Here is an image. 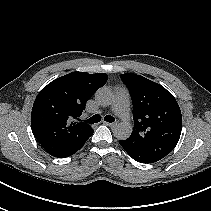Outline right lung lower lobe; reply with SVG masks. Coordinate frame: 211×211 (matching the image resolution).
Returning <instances> with one entry per match:
<instances>
[{
	"instance_id": "right-lung-lower-lobe-1",
	"label": "right lung lower lobe",
	"mask_w": 211,
	"mask_h": 211,
	"mask_svg": "<svg viewBox=\"0 0 211 211\" xmlns=\"http://www.w3.org/2000/svg\"><path fill=\"white\" fill-rule=\"evenodd\" d=\"M87 141V140H86ZM85 141V142H86ZM85 142H83L79 147H77L75 150H73L72 152H70V153H68V154H66V155H63V156H61V157H69V156H71V155H73L74 153H76L79 149H81L82 148V146L85 144Z\"/></svg>"
}]
</instances>
